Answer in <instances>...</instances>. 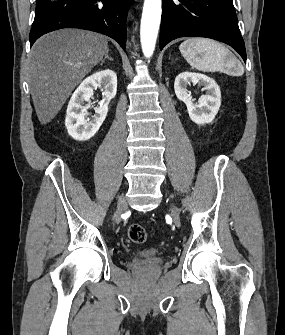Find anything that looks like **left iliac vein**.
<instances>
[{"label": "left iliac vein", "instance_id": "obj_1", "mask_svg": "<svg viewBox=\"0 0 285 335\" xmlns=\"http://www.w3.org/2000/svg\"><path fill=\"white\" fill-rule=\"evenodd\" d=\"M172 216H173L174 219H178V217H179L178 211L174 207L172 208Z\"/></svg>", "mask_w": 285, "mask_h": 335}]
</instances>
